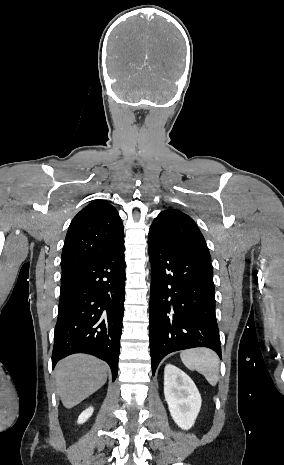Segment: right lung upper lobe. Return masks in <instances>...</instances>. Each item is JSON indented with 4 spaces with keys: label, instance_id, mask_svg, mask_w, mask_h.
Listing matches in <instances>:
<instances>
[{
    "label": "right lung upper lobe",
    "instance_id": "cb5924a9",
    "mask_svg": "<svg viewBox=\"0 0 284 465\" xmlns=\"http://www.w3.org/2000/svg\"><path fill=\"white\" fill-rule=\"evenodd\" d=\"M124 242L122 220L108 202L96 200L72 220L62 251V273L91 263Z\"/></svg>",
    "mask_w": 284,
    "mask_h": 465
}]
</instances>
